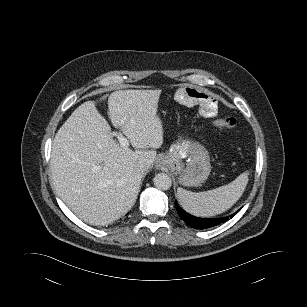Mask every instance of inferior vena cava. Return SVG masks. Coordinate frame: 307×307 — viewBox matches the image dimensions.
I'll return each instance as SVG.
<instances>
[{
  "mask_svg": "<svg viewBox=\"0 0 307 307\" xmlns=\"http://www.w3.org/2000/svg\"><path fill=\"white\" fill-rule=\"evenodd\" d=\"M135 170H136L137 172L143 174V173L145 172V170H146V165H145V163H142V162L138 163V164L135 166Z\"/></svg>",
  "mask_w": 307,
  "mask_h": 307,
  "instance_id": "inferior-vena-cava-1",
  "label": "inferior vena cava"
}]
</instances>
